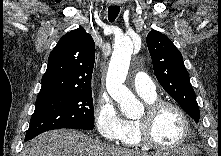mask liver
Returning a JSON list of instances; mask_svg holds the SVG:
<instances>
[{
    "label": "liver",
    "mask_w": 221,
    "mask_h": 156,
    "mask_svg": "<svg viewBox=\"0 0 221 156\" xmlns=\"http://www.w3.org/2000/svg\"><path fill=\"white\" fill-rule=\"evenodd\" d=\"M183 151V155L199 152L189 147ZM22 156H150V154L103 144L82 131L58 129L43 133L29 141Z\"/></svg>",
    "instance_id": "1"
}]
</instances>
